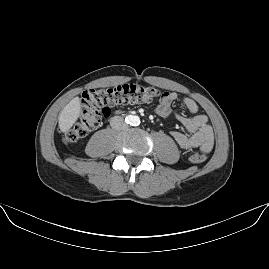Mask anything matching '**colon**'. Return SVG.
<instances>
[{"label": "colon", "mask_w": 269, "mask_h": 269, "mask_svg": "<svg viewBox=\"0 0 269 269\" xmlns=\"http://www.w3.org/2000/svg\"><path fill=\"white\" fill-rule=\"evenodd\" d=\"M159 95L152 86L137 83H123L111 87H87L82 93V110L75 126L65 135L66 142L72 143L86 136L101 122L111 107L125 104L151 102ZM208 158L206 152L191 155V163L203 162Z\"/></svg>", "instance_id": "1"}]
</instances>
